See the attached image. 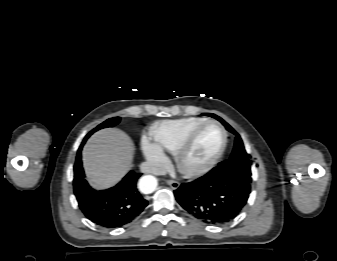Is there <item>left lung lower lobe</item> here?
Wrapping results in <instances>:
<instances>
[{"label": "left lung lower lobe", "instance_id": "obj_1", "mask_svg": "<svg viewBox=\"0 0 337 261\" xmlns=\"http://www.w3.org/2000/svg\"><path fill=\"white\" fill-rule=\"evenodd\" d=\"M176 200L200 221L221 225L232 221L246 205L250 186L227 170L212 169L203 177L183 183Z\"/></svg>", "mask_w": 337, "mask_h": 261}]
</instances>
